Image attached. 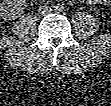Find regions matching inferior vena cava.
Wrapping results in <instances>:
<instances>
[{"label": "inferior vena cava", "instance_id": "602c4592", "mask_svg": "<svg viewBox=\"0 0 111 106\" xmlns=\"http://www.w3.org/2000/svg\"><path fill=\"white\" fill-rule=\"evenodd\" d=\"M52 11L51 7L48 6V5H43L39 8V12L42 14V15H46L48 13H50Z\"/></svg>", "mask_w": 111, "mask_h": 106}]
</instances>
